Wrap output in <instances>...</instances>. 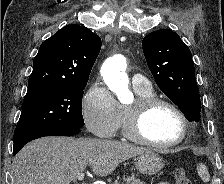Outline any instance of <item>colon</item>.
Returning a JSON list of instances; mask_svg holds the SVG:
<instances>
[{"instance_id": "5ec220e1", "label": "colon", "mask_w": 224, "mask_h": 184, "mask_svg": "<svg viewBox=\"0 0 224 184\" xmlns=\"http://www.w3.org/2000/svg\"><path fill=\"white\" fill-rule=\"evenodd\" d=\"M174 178L176 184H192V181L183 167H177L174 170Z\"/></svg>"}]
</instances>
